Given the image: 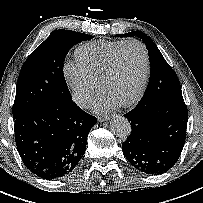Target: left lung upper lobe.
<instances>
[{
	"instance_id": "1",
	"label": "left lung upper lobe",
	"mask_w": 203,
	"mask_h": 203,
	"mask_svg": "<svg viewBox=\"0 0 203 203\" xmlns=\"http://www.w3.org/2000/svg\"><path fill=\"white\" fill-rule=\"evenodd\" d=\"M137 36L143 40L149 53L151 77L149 85L137 105H151L162 102L183 101L179 79L166 62L152 39L141 31H133L116 37Z\"/></svg>"
}]
</instances>
